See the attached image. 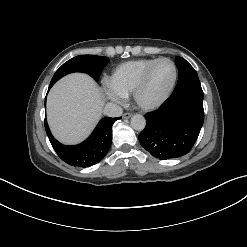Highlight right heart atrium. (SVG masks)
<instances>
[{"instance_id": "right-heart-atrium-1", "label": "right heart atrium", "mask_w": 247, "mask_h": 247, "mask_svg": "<svg viewBox=\"0 0 247 247\" xmlns=\"http://www.w3.org/2000/svg\"><path fill=\"white\" fill-rule=\"evenodd\" d=\"M105 92L109 98L115 101H122L124 99V95L111 86L108 82L105 84Z\"/></svg>"}]
</instances>
